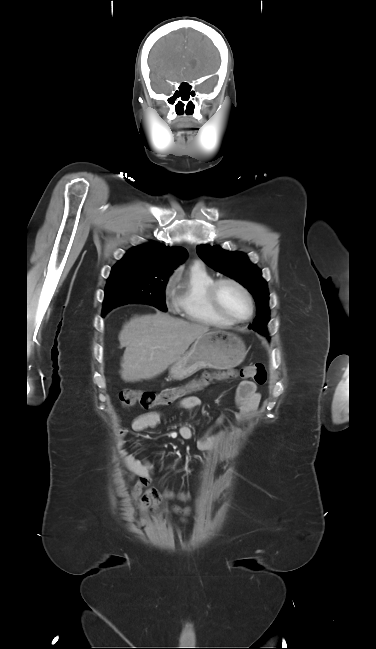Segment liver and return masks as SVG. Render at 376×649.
Here are the masks:
<instances>
[{
	"label": "liver",
	"instance_id": "obj_1",
	"mask_svg": "<svg viewBox=\"0 0 376 649\" xmlns=\"http://www.w3.org/2000/svg\"><path fill=\"white\" fill-rule=\"evenodd\" d=\"M209 327L190 323L157 312L135 316L119 333L121 347H126L121 362L125 382L152 379L181 358L189 346Z\"/></svg>",
	"mask_w": 376,
	"mask_h": 649
}]
</instances>
